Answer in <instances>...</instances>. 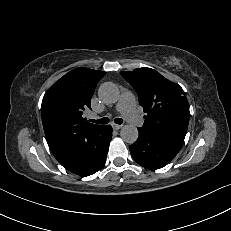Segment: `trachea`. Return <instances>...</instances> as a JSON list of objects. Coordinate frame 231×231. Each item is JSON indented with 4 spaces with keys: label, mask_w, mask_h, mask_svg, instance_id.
Instances as JSON below:
<instances>
[{
    "label": "trachea",
    "mask_w": 231,
    "mask_h": 231,
    "mask_svg": "<svg viewBox=\"0 0 231 231\" xmlns=\"http://www.w3.org/2000/svg\"><path fill=\"white\" fill-rule=\"evenodd\" d=\"M91 122L97 123V124H108L110 122V120H109V118L104 117V118H101L99 120H91ZM114 122L116 124H122L123 120L121 118H116V119H114Z\"/></svg>",
    "instance_id": "trachea-1"
}]
</instances>
